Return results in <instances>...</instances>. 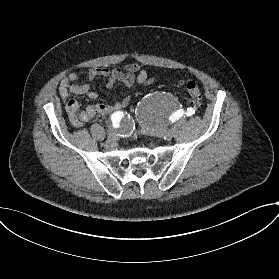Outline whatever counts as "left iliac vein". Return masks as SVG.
<instances>
[{
  "mask_svg": "<svg viewBox=\"0 0 279 279\" xmlns=\"http://www.w3.org/2000/svg\"><path fill=\"white\" fill-rule=\"evenodd\" d=\"M153 134L168 141L173 137L171 130L167 128L155 129L153 130Z\"/></svg>",
  "mask_w": 279,
  "mask_h": 279,
  "instance_id": "obj_1",
  "label": "left iliac vein"
}]
</instances>
